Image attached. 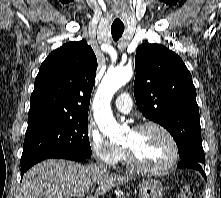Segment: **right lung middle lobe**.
Returning a JSON list of instances; mask_svg holds the SVG:
<instances>
[{"mask_svg":"<svg viewBox=\"0 0 221 198\" xmlns=\"http://www.w3.org/2000/svg\"><path fill=\"white\" fill-rule=\"evenodd\" d=\"M88 116L46 117L28 122L20 165L51 151H69L89 158Z\"/></svg>","mask_w":221,"mask_h":198,"instance_id":"1","label":"right lung middle lobe"}]
</instances>
